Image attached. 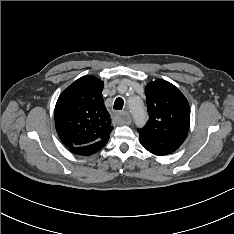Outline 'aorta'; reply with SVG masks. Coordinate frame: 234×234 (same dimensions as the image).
Returning a JSON list of instances; mask_svg holds the SVG:
<instances>
[{
    "mask_svg": "<svg viewBox=\"0 0 234 234\" xmlns=\"http://www.w3.org/2000/svg\"><path fill=\"white\" fill-rule=\"evenodd\" d=\"M128 106L138 127H142L147 120V113L142 100L137 96H132L128 99Z\"/></svg>",
    "mask_w": 234,
    "mask_h": 234,
    "instance_id": "aorta-1",
    "label": "aorta"
}]
</instances>
